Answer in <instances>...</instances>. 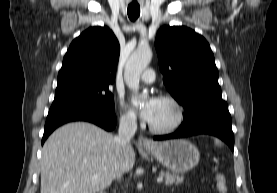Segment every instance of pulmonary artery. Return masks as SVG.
<instances>
[{"label":"pulmonary artery","mask_w":277,"mask_h":193,"mask_svg":"<svg viewBox=\"0 0 277 193\" xmlns=\"http://www.w3.org/2000/svg\"><path fill=\"white\" fill-rule=\"evenodd\" d=\"M141 80L144 83H152L155 80V73L152 69H146L141 75Z\"/></svg>","instance_id":"obj_1"}]
</instances>
